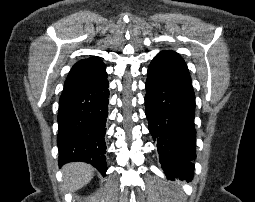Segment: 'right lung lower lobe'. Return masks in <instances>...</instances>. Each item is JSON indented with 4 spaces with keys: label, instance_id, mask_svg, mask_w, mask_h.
<instances>
[{
    "label": "right lung lower lobe",
    "instance_id": "obj_1",
    "mask_svg": "<svg viewBox=\"0 0 255 202\" xmlns=\"http://www.w3.org/2000/svg\"><path fill=\"white\" fill-rule=\"evenodd\" d=\"M107 78L83 87L64 89L59 100V165L82 161L105 175L104 140L108 115Z\"/></svg>",
    "mask_w": 255,
    "mask_h": 202
}]
</instances>
